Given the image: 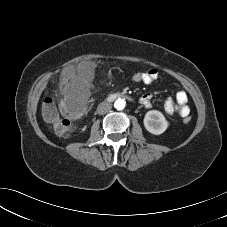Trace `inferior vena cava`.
Wrapping results in <instances>:
<instances>
[{"instance_id": "obj_1", "label": "inferior vena cava", "mask_w": 227, "mask_h": 227, "mask_svg": "<svg viewBox=\"0 0 227 227\" xmlns=\"http://www.w3.org/2000/svg\"><path fill=\"white\" fill-rule=\"evenodd\" d=\"M112 109V105L108 102H102L97 107V113L100 115L108 113Z\"/></svg>"}]
</instances>
